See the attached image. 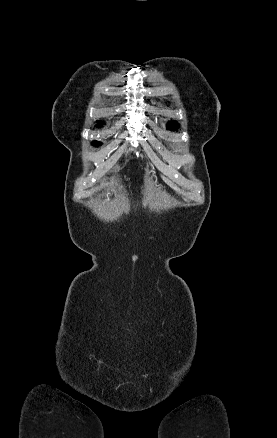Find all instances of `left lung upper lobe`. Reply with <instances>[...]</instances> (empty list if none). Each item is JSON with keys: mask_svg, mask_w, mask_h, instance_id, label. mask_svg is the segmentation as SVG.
Returning <instances> with one entry per match:
<instances>
[{"mask_svg": "<svg viewBox=\"0 0 277 438\" xmlns=\"http://www.w3.org/2000/svg\"><path fill=\"white\" fill-rule=\"evenodd\" d=\"M178 127H179V125H178V123L175 122V121H173V122H169V123L167 124V128H168L169 130H172V131H175Z\"/></svg>", "mask_w": 277, "mask_h": 438, "instance_id": "left-lung-upper-lobe-1", "label": "left lung upper lobe"}]
</instances>
